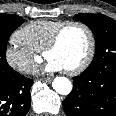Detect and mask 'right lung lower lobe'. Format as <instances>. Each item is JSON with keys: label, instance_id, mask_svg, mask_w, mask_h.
<instances>
[{"label": "right lung lower lobe", "instance_id": "98d812e1", "mask_svg": "<svg viewBox=\"0 0 116 116\" xmlns=\"http://www.w3.org/2000/svg\"><path fill=\"white\" fill-rule=\"evenodd\" d=\"M33 80L20 73L0 80V116H25L30 109V88Z\"/></svg>", "mask_w": 116, "mask_h": 116}]
</instances>
